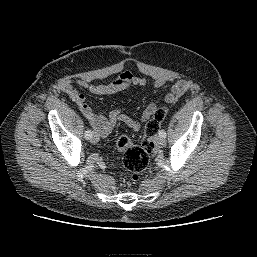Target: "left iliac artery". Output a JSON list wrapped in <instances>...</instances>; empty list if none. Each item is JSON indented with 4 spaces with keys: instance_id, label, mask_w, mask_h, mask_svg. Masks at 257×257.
I'll list each match as a JSON object with an SVG mask.
<instances>
[{
    "instance_id": "obj_1",
    "label": "left iliac artery",
    "mask_w": 257,
    "mask_h": 257,
    "mask_svg": "<svg viewBox=\"0 0 257 257\" xmlns=\"http://www.w3.org/2000/svg\"><path fill=\"white\" fill-rule=\"evenodd\" d=\"M159 136L165 138L166 137V132L164 130L159 131Z\"/></svg>"
}]
</instances>
